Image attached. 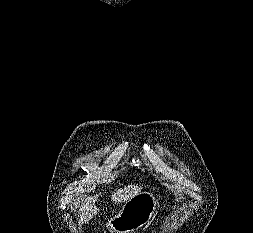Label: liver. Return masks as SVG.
Instances as JSON below:
<instances>
[{
  "mask_svg": "<svg viewBox=\"0 0 253 233\" xmlns=\"http://www.w3.org/2000/svg\"><path fill=\"white\" fill-rule=\"evenodd\" d=\"M142 189L141 186L138 185H128L118 191L114 192L111 196V200L115 202H126ZM98 195L88 197L84 203H82L80 210H79V223L88 222L90 219L93 218L99 211L97 207L94 206V203L97 201Z\"/></svg>",
  "mask_w": 253,
  "mask_h": 233,
  "instance_id": "6515ba94",
  "label": "liver"
}]
</instances>
